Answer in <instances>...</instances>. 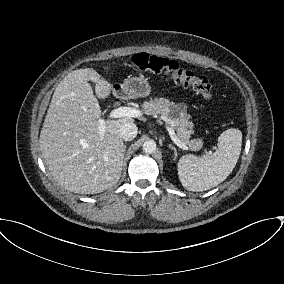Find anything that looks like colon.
<instances>
[{
  "mask_svg": "<svg viewBox=\"0 0 284 284\" xmlns=\"http://www.w3.org/2000/svg\"><path fill=\"white\" fill-rule=\"evenodd\" d=\"M132 62L142 72L167 73L176 83L192 88L196 94L205 99L213 97V87L206 77L195 75L189 70L180 68L174 60L148 53H139L133 56Z\"/></svg>",
  "mask_w": 284,
  "mask_h": 284,
  "instance_id": "5ec220e1",
  "label": "colon"
}]
</instances>
